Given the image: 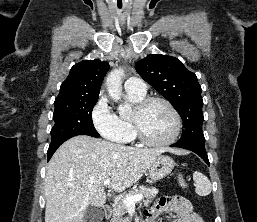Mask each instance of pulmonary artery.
<instances>
[{
	"instance_id": "e3ab8cb5",
	"label": "pulmonary artery",
	"mask_w": 257,
	"mask_h": 222,
	"mask_svg": "<svg viewBox=\"0 0 257 222\" xmlns=\"http://www.w3.org/2000/svg\"><path fill=\"white\" fill-rule=\"evenodd\" d=\"M125 89L128 92L143 95L146 94L147 86L141 78L130 77L125 82Z\"/></svg>"
}]
</instances>
